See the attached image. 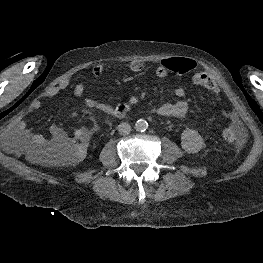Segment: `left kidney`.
<instances>
[{"instance_id": "1", "label": "left kidney", "mask_w": 263, "mask_h": 263, "mask_svg": "<svg viewBox=\"0 0 263 263\" xmlns=\"http://www.w3.org/2000/svg\"><path fill=\"white\" fill-rule=\"evenodd\" d=\"M205 146L202 136L192 129H185L181 134V147L188 153H198Z\"/></svg>"}]
</instances>
